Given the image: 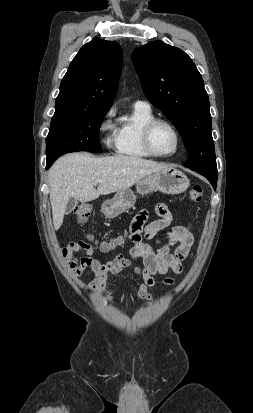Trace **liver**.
Wrapping results in <instances>:
<instances>
[{"instance_id":"liver-1","label":"liver","mask_w":253,"mask_h":413,"mask_svg":"<svg viewBox=\"0 0 253 413\" xmlns=\"http://www.w3.org/2000/svg\"><path fill=\"white\" fill-rule=\"evenodd\" d=\"M170 166L134 156L94 157L88 153H71L60 157L50 168L48 180L53 224H63L71 198L89 202L130 188L142 178ZM100 180L97 189L95 181Z\"/></svg>"}]
</instances>
